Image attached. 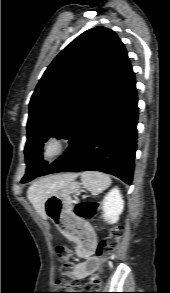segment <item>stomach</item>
<instances>
[{"label":"stomach","mask_w":170,"mask_h":293,"mask_svg":"<svg viewBox=\"0 0 170 293\" xmlns=\"http://www.w3.org/2000/svg\"><path fill=\"white\" fill-rule=\"evenodd\" d=\"M80 190L81 184L74 179L52 192L44 203L46 217L58 228L63 229L69 238L77 239L78 244H81L80 238L72 236L67 228L74 219L73 197H76Z\"/></svg>","instance_id":"stomach-1"}]
</instances>
